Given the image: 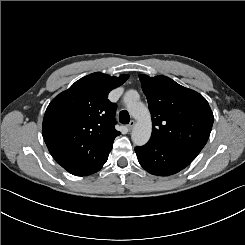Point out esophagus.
I'll return each instance as SVG.
<instances>
[{"label": "esophagus", "mask_w": 245, "mask_h": 245, "mask_svg": "<svg viewBox=\"0 0 245 245\" xmlns=\"http://www.w3.org/2000/svg\"><path fill=\"white\" fill-rule=\"evenodd\" d=\"M134 126H135V121L132 120V121H130L129 124H127L126 127H127L128 131H131L134 128Z\"/></svg>", "instance_id": "34e87169"}]
</instances>
